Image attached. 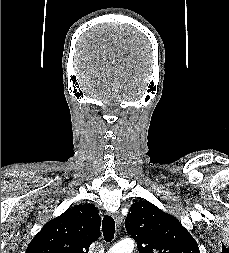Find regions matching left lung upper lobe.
<instances>
[{"label": "left lung upper lobe", "mask_w": 229, "mask_h": 253, "mask_svg": "<svg viewBox=\"0 0 229 253\" xmlns=\"http://www.w3.org/2000/svg\"><path fill=\"white\" fill-rule=\"evenodd\" d=\"M125 227L137 242L139 253H200L181 222L149 201L132 204Z\"/></svg>", "instance_id": "1"}]
</instances>
